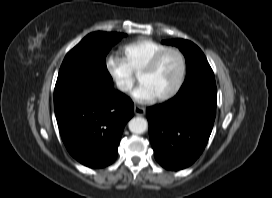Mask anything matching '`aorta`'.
<instances>
[{
    "label": "aorta",
    "mask_w": 272,
    "mask_h": 198,
    "mask_svg": "<svg viewBox=\"0 0 272 198\" xmlns=\"http://www.w3.org/2000/svg\"><path fill=\"white\" fill-rule=\"evenodd\" d=\"M129 130L135 134L144 133L148 128V122L142 117H135L129 121Z\"/></svg>",
    "instance_id": "762f6f07"
}]
</instances>
